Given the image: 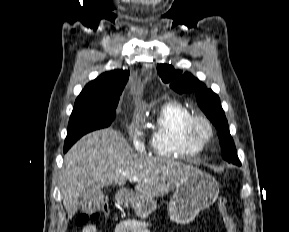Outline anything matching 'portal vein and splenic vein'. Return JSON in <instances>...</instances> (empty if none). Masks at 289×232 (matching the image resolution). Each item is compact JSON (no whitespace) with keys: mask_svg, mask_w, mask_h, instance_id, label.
Here are the masks:
<instances>
[{"mask_svg":"<svg viewBox=\"0 0 289 232\" xmlns=\"http://www.w3.org/2000/svg\"><path fill=\"white\" fill-rule=\"evenodd\" d=\"M130 182H139L141 181L137 176H132L128 178Z\"/></svg>","mask_w":289,"mask_h":232,"instance_id":"obj_1","label":"portal vein and splenic vein"}]
</instances>
